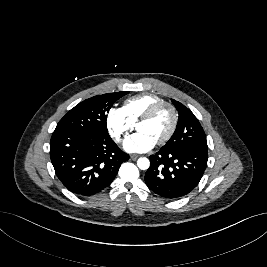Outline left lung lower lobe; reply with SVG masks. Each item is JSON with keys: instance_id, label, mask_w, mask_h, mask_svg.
Returning <instances> with one entry per match:
<instances>
[{"instance_id": "0a47b994", "label": "left lung lower lobe", "mask_w": 267, "mask_h": 267, "mask_svg": "<svg viewBox=\"0 0 267 267\" xmlns=\"http://www.w3.org/2000/svg\"><path fill=\"white\" fill-rule=\"evenodd\" d=\"M208 151L199 147L160 149L150 156L145 174L149 189L167 199L189 194L201 180L207 166Z\"/></svg>"}]
</instances>
